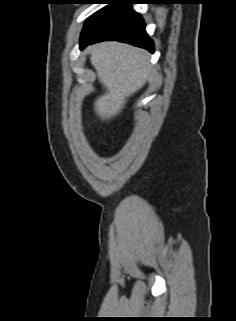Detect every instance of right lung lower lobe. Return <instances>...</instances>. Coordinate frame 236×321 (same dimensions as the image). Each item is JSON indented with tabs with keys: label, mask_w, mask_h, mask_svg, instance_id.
<instances>
[{
	"label": "right lung lower lobe",
	"mask_w": 236,
	"mask_h": 321,
	"mask_svg": "<svg viewBox=\"0 0 236 321\" xmlns=\"http://www.w3.org/2000/svg\"><path fill=\"white\" fill-rule=\"evenodd\" d=\"M132 2L117 0L96 12L85 24L80 48L105 40H116L154 52L153 41L144 31L142 17L130 6Z\"/></svg>",
	"instance_id": "98d812e1"
}]
</instances>
